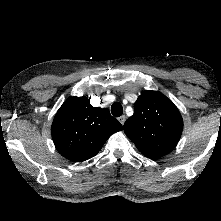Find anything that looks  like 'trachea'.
<instances>
[{"instance_id": "1", "label": "trachea", "mask_w": 221, "mask_h": 221, "mask_svg": "<svg viewBox=\"0 0 221 221\" xmlns=\"http://www.w3.org/2000/svg\"><path fill=\"white\" fill-rule=\"evenodd\" d=\"M111 113L115 117H119L123 114V107L119 102H115L111 106Z\"/></svg>"}]
</instances>
